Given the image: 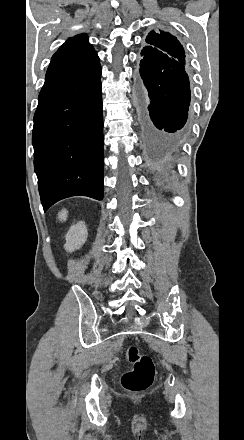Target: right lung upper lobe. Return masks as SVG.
<instances>
[{
  "label": "right lung upper lobe",
  "instance_id": "cb5924a9",
  "mask_svg": "<svg viewBox=\"0 0 244 440\" xmlns=\"http://www.w3.org/2000/svg\"><path fill=\"white\" fill-rule=\"evenodd\" d=\"M99 62L86 34L69 38L53 55L47 74L72 67L88 68Z\"/></svg>",
  "mask_w": 244,
  "mask_h": 440
}]
</instances>
